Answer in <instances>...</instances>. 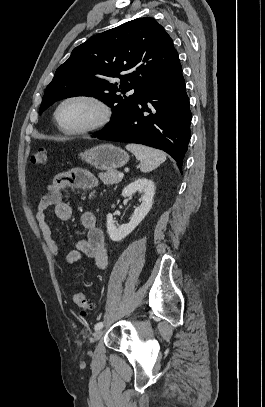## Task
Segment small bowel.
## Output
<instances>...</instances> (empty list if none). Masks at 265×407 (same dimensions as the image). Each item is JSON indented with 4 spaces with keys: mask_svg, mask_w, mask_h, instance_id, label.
<instances>
[{
    "mask_svg": "<svg viewBox=\"0 0 265 407\" xmlns=\"http://www.w3.org/2000/svg\"><path fill=\"white\" fill-rule=\"evenodd\" d=\"M97 186L98 180L94 174L85 169L74 168L57 174L47 186L46 193L40 195L35 217L44 241L53 255L57 256L59 250L53 231L46 221V211L53 207L58 219L68 221L72 217V208L63 200L65 189L73 187L93 190ZM80 226L84 230L86 238L72 243V248L65 257L66 264L73 265L83 257H87L94 261L97 268L105 269L108 264L105 236L102 229L97 225L94 214L89 212L83 214L80 218Z\"/></svg>",
    "mask_w": 265,
    "mask_h": 407,
    "instance_id": "c3829d8e",
    "label": "small bowel"
}]
</instances>
